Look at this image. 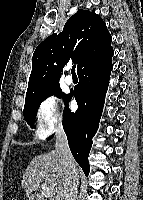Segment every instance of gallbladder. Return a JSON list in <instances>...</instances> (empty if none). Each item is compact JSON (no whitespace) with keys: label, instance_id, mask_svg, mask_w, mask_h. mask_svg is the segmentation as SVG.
Returning a JSON list of instances; mask_svg holds the SVG:
<instances>
[{"label":"gallbladder","instance_id":"bac80fb5","mask_svg":"<svg viewBox=\"0 0 143 200\" xmlns=\"http://www.w3.org/2000/svg\"><path fill=\"white\" fill-rule=\"evenodd\" d=\"M32 200H37L36 198L34 199V197H32Z\"/></svg>","mask_w":143,"mask_h":200}]
</instances>
